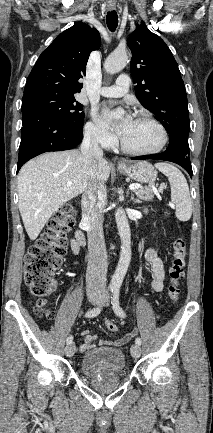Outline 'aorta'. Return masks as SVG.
Returning <instances> with one entry per match:
<instances>
[{
	"instance_id": "obj_1",
	"label": "aorta",
	"mask_w": 213,
	"mask_h": 433,
	"mask_svg": "<svg viewBox=\"0 0 213 433\" xmlns=\"http://www.w3.org/2000/svg\"><path fill=\"white\" fill-rule=\"evenodd\" d=\"M127 63L128 55L125 51H114L106 58L104 69L107 73L115 74L120 72ZM115 220L121 239V251L110 286L112 288H120L131 261V233L128 219L122 208L116 210Z\"/></svg>"
}]
</instances>
